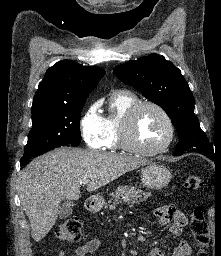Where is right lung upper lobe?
Here are the masks:
<instances>
[{"label":"right lung upper lobe","instance_id":"right-lung-upper-lobe-1","mask_svg":"<svg viewBox=\"0 0 221 256\" xmlns=\"http://www.w3.org/2000/svg\"><path fill=\"white\" fill-rule=\"evenodd\" d=\"M105 71L95 66H83L62 60L50 67L39 84L32 103V111L86 101Z\"/></svg>","mask_w":221,"mask_h":256}]
</instances>
